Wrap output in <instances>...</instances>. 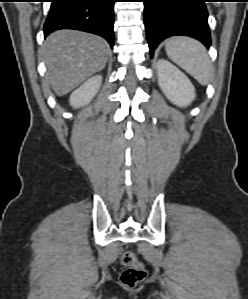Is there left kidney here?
<instances>
[{
	"label": "left kidney",
	"mask_w": 248,
	"mask_h": 299,
	"mask_svg": "<svg viewBox=\"0 0 248 299\" xmlns=\"http://www.w3.org/2000/svg\"><path fill=\"white\" fill-rule=\"evenodd\" d=\"M158 83L165 96L178 107H186L195 98V89L188 77L165 59L157 62Z\"/></svg>",
	"instance_id": "obj_1"
}]
</instances>
